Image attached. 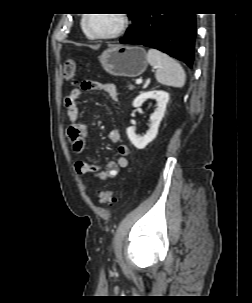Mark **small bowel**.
I'll list each match as a JSON object with an SVG mask.
<instances>
[{"instance_id": "small-bowel-1", "label": "small bowel", "mask_w": 252, "mask_h": 303, "mask_svg": "<svg viewBox=\"0 0 252 303\" xmlns=\"http://www.w3.org/2000/svg\"><path fill=\"white\" fill-rule=\"evenodd\" d=\"M89 90L104 92L115 105H118L120 102L114 84H98L89 81L82 82L78 87L70 91L65 100V106L70 120V125L67 130V139L73 155L77 157L74 162L76 172L80 175L88 174L94 180H106L116 176L120 169L125 168L128 165L127 156L129 147L126 144H119L116 148L117 158L115 160H108L104 165L88 163L79 157L85 148L86 136L89 130L88 123L80 118L79 102L83 92ZM108 138L112 143H119L121 141L119 128L111 129Z\"/></svg>"}]
</instances>
